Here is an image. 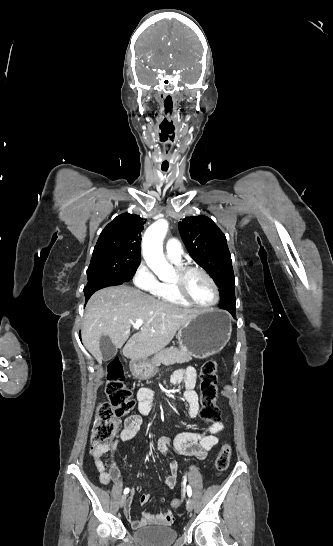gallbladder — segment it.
<instances>
[{
	"label": "gallbladder",
	"mask_w": 333,
	"mask_h": 546,
	"mask_svg": "<svg viewBox=\"0 0 333 546\" xmlns=\"http://www.w3.org/2000/svg\"><path fill=\"white\" fill-rule=\"evenodd\" d=\"M100 350L103 361H110L117 354V348L112 344L108 336H103L100 339Z\"/></svg>",
	"instance_id": "gallbladder-1"
}]
</instances>
